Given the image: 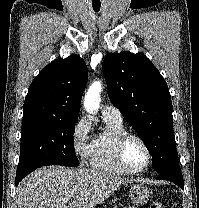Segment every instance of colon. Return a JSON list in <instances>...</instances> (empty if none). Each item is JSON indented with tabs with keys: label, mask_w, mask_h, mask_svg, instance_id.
Masks as SVG:
<instances>
[{
	"label": "colon",
	"mask_w": 199,
	"mask_h": 208,
	"mask_svg": "<svg viewBox=\"0 0 199 208\" xmlns=\"http://www.w3.org/2000/svg\"><path fill=\"white\" fill-rule=\"evenodd\" d=\"M147 208H165V207L161 202L152 200L149 202V205Z\"/></svg>",
	"instance_id": "obj_1"
}]
</instances>
